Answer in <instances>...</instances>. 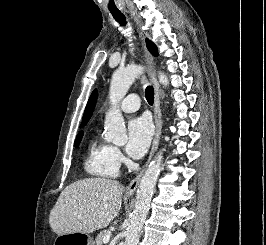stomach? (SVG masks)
<instances>
[{
	"label": "stomach",
	"mask_w": 266,
	"mask_h": 245,
	"mask_svg": "<svg viewBox=\"0 0 266 245\" xmlns=\"http://www.w3.org/2000/svg\"><path fill=\"white\" fill-rule=\"evenodd\" d=\"M130 197V195H126ZM59 242H71V245H94V241L88 233H57Z\"/></svg>",
	"instance_id": "0dacf381"
}]
</instances>
